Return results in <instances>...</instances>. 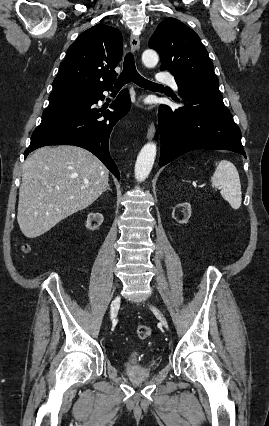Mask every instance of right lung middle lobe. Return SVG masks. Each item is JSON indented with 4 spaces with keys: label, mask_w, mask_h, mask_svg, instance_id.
Segmentation results:
<instances>
[{
    "label": "right lung middle lobe",
    "mask_w": 269,
    "mask_h": 426,
    "mask_svg": "<svg viewBox=\"0 0 269 426\" xmlns=\"http://www.w3.org/2000/svg\"><path fill=\"white\" fill-rule=\"evenodd\" d=\"M89 98L88 92L81 91H59L52 92L49 96V105L43 111L42 117L59 113L79 106Z\"/></svg>",
    "instance_id": "1"
}]
</instances>
